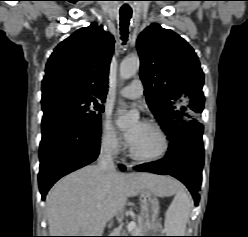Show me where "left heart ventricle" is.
<instances>
[{
	"label": "left heart ventricle",
	"mask_w": 248,
	"mask_h": 237,
	"mask_svg": "<svg viewBox=\"0 0 248 237\" xmlns=\"http://www.w3.org/2000/svg\"><path fill=\"white\" fill-rule=\"evenodd\" d=\"M131 146L137 153L150 156L161 149L162 143L156 131L143 124Z\"/></svg>",
	"instance_id": "obj_1"
}]
</instances>
